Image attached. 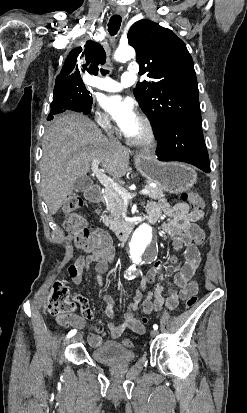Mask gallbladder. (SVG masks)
I'll return each mask as SVG.
<instances>
[{
  "label": "gallbladder",
  "instance_id": "obj_1",
  "mask_svg": "<svg viewBox=\"0 0 247 413\" xmlns=\"http://www.w3.org/2000/svg\"><path fill=\"white\" fill-rule=\"evenodd\" d=\"M89 186H92V180L89 176H78L74 182L76 192H84Z\"/></svg>",
  "mask_w": 247,
  "mask_h": 413
}]
</instances>
